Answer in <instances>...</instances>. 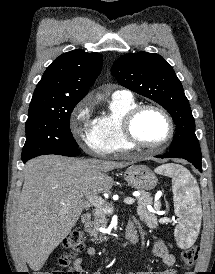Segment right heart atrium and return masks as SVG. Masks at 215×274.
Masks as SVG:
<instances>
[{
    "instance_id": "d8ad5b80",
    "label": "right heart atrium",
    "mask_w": 215,
    "mask_h": 274,
    "mask_svg": "<svg viewBox=\"0 0 215 274\" xmlns=\"http://www.w3.org/2000/svg\"><path fill=\"white\" fill-rule=\"evenodd\" d=\"M71 132L81 147L90 154L106 155L108 149L96 128V121L92 118V105L85 99L79 102L71 117Z\"/></svg>"
}]
</instances>
